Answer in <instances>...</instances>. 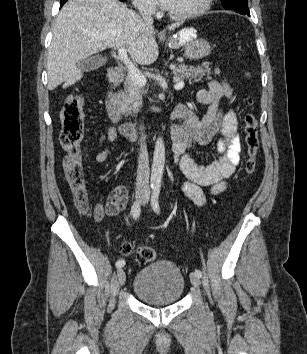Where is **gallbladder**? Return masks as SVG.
Segmentation results:
<instances>
[{"mask_svg":"<svg viewBox=\"0 0 307 354\" xmlns=\"http://www.w3.org/2000/svg\"><path fill=\"white\" fill-rule=\"evenodd\" d=\"M105 64V59L99 56H89L77 62V67L83 71H92Z\"/></svg>","mask_w":307,"mask_h":354,"instance_id":"obj_1","label":"gallbladder"}]
</instances>
